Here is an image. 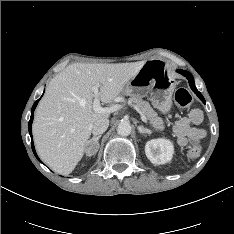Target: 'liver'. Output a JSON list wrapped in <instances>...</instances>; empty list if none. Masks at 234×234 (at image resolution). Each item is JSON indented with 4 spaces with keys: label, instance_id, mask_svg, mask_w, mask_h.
<instances>
[{
    "label": "liver",
    "instance_id": "obj_1",
    "mask_svg": "<svg viewBox=\"0 0 234 234\" xmlns=\"http://www.w3.org/2000/svg\"><path fill=\"white\" fill-rule=\"evenodd\" d=\"M145 61L132 63H75L48 84L32 126L40 158L54 172L70 174L82 159L92 125L110 113L93 109L98 86L99 99L111 103L138 73Z\"/></svg>",
    "mask_w": 234,
    "mask_h": 234
}]
</instances>
